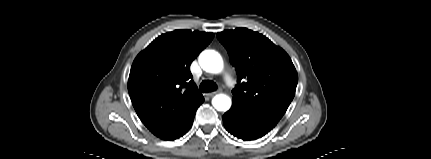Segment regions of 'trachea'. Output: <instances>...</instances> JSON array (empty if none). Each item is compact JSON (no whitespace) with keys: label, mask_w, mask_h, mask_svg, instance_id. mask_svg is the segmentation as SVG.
<instances>
[{"label":"trachea","mask_w":431,"mask_h":159,"mask_svg":"<svg viewBox=\"0 0 431 159\" xmlns=\"http://www.w3.org/2000/svg\"><path fill=\"white\" fill-rule=\"evenodd\" d=\"M217 89V84L211 80H203L200 84L199 90L202 93L212 92Z\"/></svg>","instance_id":"1"}]
</instances>
